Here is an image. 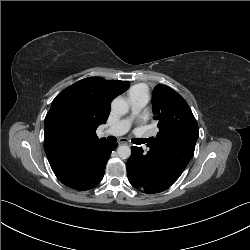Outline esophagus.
I'll list each match as a JSON object with an SVG mask.
<instances>
[{"label":"esophagus","mask_w":250,"mask_h":250,"mask_svg":"<svg viewBox=\"0 0 250 250\" xmlns=\"http://www.w3.org/2000/svg\"><path fill=\"white\" fill-rule=\"evenodd\" d=\"M119 144H128V140L126 138H121L118 142Z\"/></svg>","instance_id":"1"}]
</instances>
